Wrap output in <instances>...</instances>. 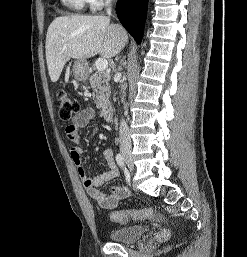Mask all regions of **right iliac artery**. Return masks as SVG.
<instances>
[{
  "mask_svg": "<svg viewBox=\"0 0 247 257\" xmlns=\"http://www.w3.org/2000/svg\"><path fill=\"white\" fill-rule=\"evenodd\" d=\"M116 162H117V164H118L122 169H126V168H125V160H124L123 156H122L120 153H118V154L116 155Z\"/></svg>",
  "mask_w": 247,
  "mask_h": 257,
  "instance_id": "right-iliac-artery-1",
  "label": "right iliac artery"
}]
</instances>
